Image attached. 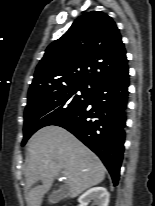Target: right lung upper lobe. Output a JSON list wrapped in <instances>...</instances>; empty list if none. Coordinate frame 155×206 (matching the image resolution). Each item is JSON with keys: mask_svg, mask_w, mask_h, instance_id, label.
Masks as SVG:
<instances>
[{"mask_svg": "<svg viewBox=\"0 0 155 206\" xmlns=\"http://www.w3.org/2000/svg\"><path fill=\"white\" fill-rule=\"evenodd\" d=\"M126 68V50L115 22L107 14L91 11L48 46L28 96L68 85L95 89Z\"/></svg>", "mask_w": 155, "mask_h": 206, "instance_id": "obj_1", "label": "right lung upper lobe"}]
</instances>
